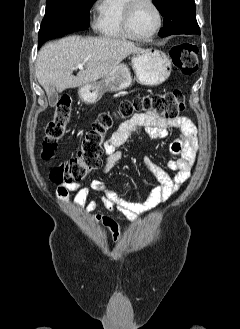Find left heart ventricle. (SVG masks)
<instances>
[{
	"label": "left heart ventricle",
	"mask_w": 240,
	"mask_h": 329,
	"mask_svg": "<svg viewBox=\"0 0 240 329\" xmlns=\"http://www.w3.org/2000/svg\"><path fill=\"white\" fill-rule=\"evenodd\" d=\"M157 25V15L155 10L147 2H140L135 5L130 27L134 34L145 36L150 34Z\"/></svg>",
	"instance_id": "1"
}]
</instances>
